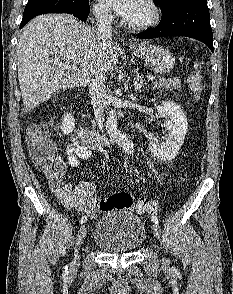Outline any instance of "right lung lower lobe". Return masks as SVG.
<instances>
[{
  "instance_id": "obj_1",
  "label": "right lung lower lobe",
  "mask_w": 233,
  "mask_h": 294,
  "mask_svg": "<svg viewBox=\"0 0 233 294\" xmlns=\"http://www.w3.org/2000/svg\"><path fill=\"white\" fill-rule=\"evenodd\" d=\"M90 12V8H89V3L81 6L77 9H74L72 11L67 12V14H71L75 17H77L78 19L85 21L89 15ZM26 23L21 22L20 28L23 27Z\"/></svg>"
}]
</instances>
